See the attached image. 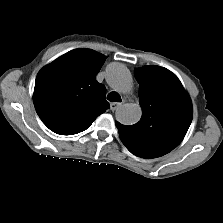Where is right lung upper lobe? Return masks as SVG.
<instances>
[{
    "label": "right lung upper lobe",
    "instance_id": "cb5924a9",
    "mask_svg": "<svg viewBox=\"0 0 223 223\" xmlns=\"http://www.w3.org/2000/svg\"><path fill=\"white\" fill-rule=\"evenodd\" d=\"M105 59L96 51L75 49L40 70L33 102L50 130L60 135L82 132L109 107L106 88L95 78Z\"/></svg>",
    "mask_w": 223,
    "mask_h": 223
}]
</instances>
